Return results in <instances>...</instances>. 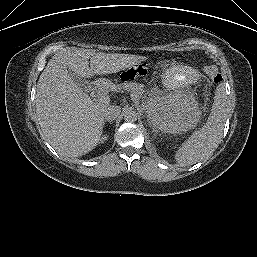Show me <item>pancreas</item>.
Masks as SVG:
<instances>
[{
  "instance_id": "obj_1",
  "label": "pancreas",
  "mask_w": 257,
  "mask_h": 257,
  "mask_svg": "<svg viewBox=\"0 0 257 257\" xmlns=\"http://www.w3.org/2000/svg\"><path fill=\"white\" fill-rule=\"evenodd\" d=\"M124 91H131L132 99L138 102L142 98L144 89L140 84L137 83H127L119 86Z\"/></svg>"
}]
</instances>
